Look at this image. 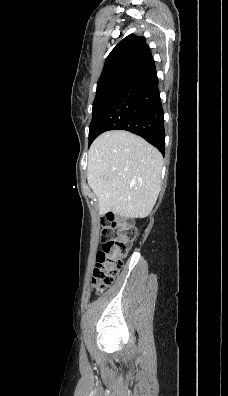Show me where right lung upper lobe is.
Wrapping results in <instances>:
<instances>
[{"mask_svg": "<svg viewBox=\"0 0 228 396\" xmlns=\"http://www.w3.org/2000/svg\"><path fill=\"white\" fill-rule=\"evenodd\" d=\"M154 65L144 37L131 34L122 39L108 55L97 88L113 84H130Z\"/></svg>", "mask_w": 228, "mask_h": 396, "instance_id": "1", "label": "right lung upper lobe"}]
</instances>
